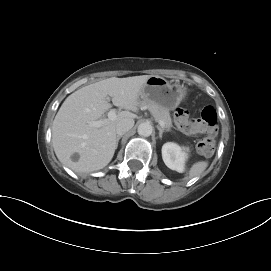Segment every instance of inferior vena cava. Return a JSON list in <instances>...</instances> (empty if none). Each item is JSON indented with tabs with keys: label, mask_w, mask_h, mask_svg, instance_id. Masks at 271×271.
<instances>
[{
	"label": "inferior vena cava",
	"mask_w": 271,
	"mask_h": 271,
	"mask_svg": "<svg viewBox=\"0 0 271 271\" xmlns=\"http://www.w3.org/2000/svg\"><path fill=\"white\" fill-rule=\"evenodd\" d=\"M134 126V120L133 119H122L119 121L116 125V133L118 136H121L125 134L127 131H129Z\"/></svg>",
	"instance_id": "1"
}]
</instances>
